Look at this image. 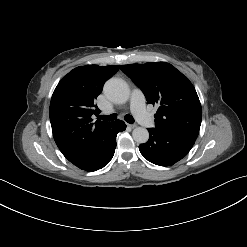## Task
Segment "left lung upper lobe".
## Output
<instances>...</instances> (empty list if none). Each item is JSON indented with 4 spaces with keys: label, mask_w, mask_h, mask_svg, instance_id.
Here are the masks:
<instances>
[{
    "label": "left lung upper lobe",
    "mask_w": 247,
    "mask_h": 247,
    "mask_svg": "<svg viewBox=\"0 0 247 247\" xmlns=\"http://www.w3.org/2000/svg\"><path fill=\"white\" fill-rule=\"evenodd\" d=\"M121 70L142 90L148 103L159 106L155 129L196 139L201 104L192 83L166 62L122 65Z\"/></svg>",
    "instance_id": "1"
}]
</instances>
